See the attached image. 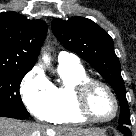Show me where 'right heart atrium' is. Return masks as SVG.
<instances>
[{
  "instance_id": "right-heart-atrium-1",
  "label": "right heart atrium",
  "mask_w": 136,
  "mask_h": 136,
  "mask_svg": "<svg viewBox=\"0 0 136 136\" xmlns=\"http://www.w3.org/2000/svg\"><path fill=\"white\" fill-rule=\"evenodd\" d=\"M20 93L26 108L37 118L44 119L53 106L52 84L37 68L24 77Z\"/></svg>"
}]
</instances>
